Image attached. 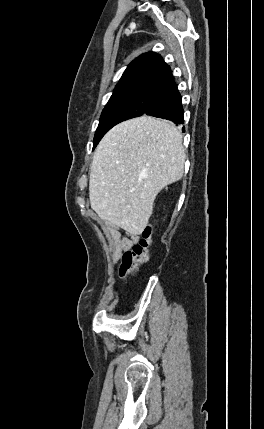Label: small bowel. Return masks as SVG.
I'll use <instances>...</instances> for the list:
<instances>
[{"label":"small bowel","instance_id":"small-bowel-1","mask_svg":"<svg viewBox=\"0 0 264 429\" xmlns=\"http://www.w3.org/2000/svg\"><path fill=\"white\" fill-rule=\"evenodd\" d=\"M108 240L113 257H118L122 251L130 250L138 241V235L132 232L112 227L108 230Z\"/></svg>","mask_w":264,"mask_h":429}]
</instances>
